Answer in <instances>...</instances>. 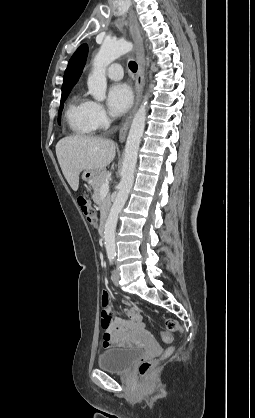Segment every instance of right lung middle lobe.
<instances>
[{
    "label": "right lung middle lobe",
    "instance_id": "obj_1",
    "mask_svg": "<svg viewBox=\"0 0 255 418\" xmlns=\"http://www.w3.org/2000/svg\"><path fill=\"white\" fill-rule=\"evenodd\" d=\"M70 92L69 90L63 91L62 92V96H61V103H60V108H59V112H58V123L60 124V116H61V112L63 109V102L65 101V99L67 98L68 94Z\"/></svg>",
    "mask_w": 255,
    "mask_h": 418
}]
</instances>
